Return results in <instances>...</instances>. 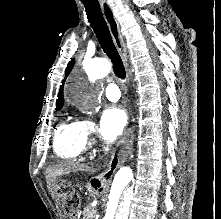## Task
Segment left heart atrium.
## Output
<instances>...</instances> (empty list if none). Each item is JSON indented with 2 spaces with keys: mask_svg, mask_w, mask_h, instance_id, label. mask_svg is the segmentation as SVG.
Instances as JSON below:
<instances>
[{
  "mask_svg": "<svg viewBox=\"0 0 221 219\" xmlns=\"http://www.w3.org/2000/svg\"><path fill=\"white\" fill-rule=\"evenodd\" d=\"M128 120L126 110L120 106H112L104 111L99 127L101 137L106 141L116 139L123 131Z\"/></svg>",
  "mask_w": 221,
  "mask_h": 219,
  "instance_id": "left-heart-atrium-1",
  "label": "left heart atrium"
}]
</instances>
